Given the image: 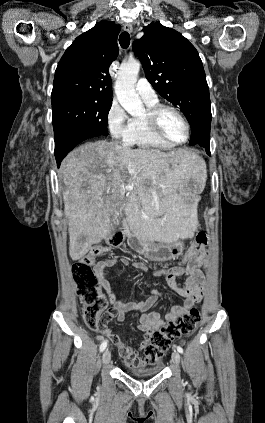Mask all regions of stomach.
<instances>
[{
	"instance_id": "stomach-1",
	"label": "stomach",
	"mask_w": 265,
	"mask_h": 423,
	"mask_svg": "<svg viewBox=\"0 0 265 423\" xmlns=\"http://www.w3.org/2000/svg\"><path fill=\"white\" fill-rule=\"evenodd\" d=\"M141 251L152 261H166L180 256L184 249L182 241L171 243H155L154 241L140 240Z\"/></svg>"
}]
</instances>
